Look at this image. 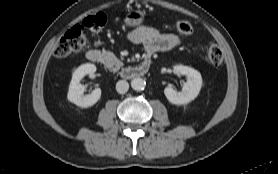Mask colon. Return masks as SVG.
Returning <instances> with one entry per match:
<instances>
[{
    "instance_id": "5ec220e1",
    "label": "colon",
    "mask_w": 278,
    "mask_h": 174,
    "mask_svg": "<svg viewBox=\"0 0 278 174\" xmlns=\"http://www.w3.org/2000/svg\"><path fill=\"white\" fill-rule=\"evenodd\" d=\"M106 24V16L103 13H97L86 17L80 24L70 28L58 41L54 56L59 59H65L71 54L77 53L85 48L88 42L86 30L97 32ZM177 31L189 37L193 33L192 25L187 21H180L176 25ZM204 60L213 66H219L223 61L221 48L216 44L209 45L206 49H199Z\"/></svg>"
}]
</instances>
